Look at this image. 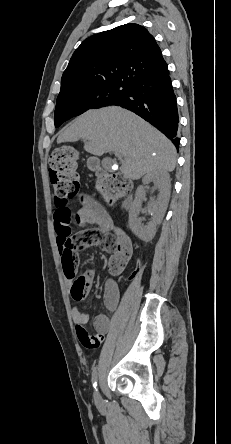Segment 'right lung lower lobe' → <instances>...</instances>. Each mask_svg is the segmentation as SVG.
<instances>
[{"mask_svg": "<svg viewBox=\"0 0 231 444\" xmlns=\"http://www.w3.org/2000/svg\"><path fill=\"white\" fill-rule=\"evenodd\" d=\"M127 108L162 131L178 149V111L168 68L130 85L127 97L114 103Z\"/></svg>", "mask_w": 231, "mask_h": 444, "instance_id": "98d812e1", "label": "right lung lower lobe"}]
</instances>
